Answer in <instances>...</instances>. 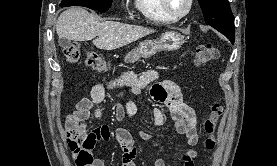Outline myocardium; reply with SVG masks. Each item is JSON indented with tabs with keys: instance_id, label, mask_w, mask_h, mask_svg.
I'll return each mask as SVG.
<instances>
[{
	"instance_id": "f54148a6",
	"label": "myocardium",
	"mask_w": 277,
	"mask_h": 166,
	"mask_svg": "<svg viewBox=\"0 0 277 166\" xmlns=\"http://www.w3.org/2000/svg\"><path fill=\"white\" fill-rule=\"evenodd\" d=\"M159 1H160V6L162 10L173 20H179L186 17L191 12L194 4V0H188V5L186 10L182 13H175L169 7L168 0H159Z\"/></svg>"
}]
</instances>
